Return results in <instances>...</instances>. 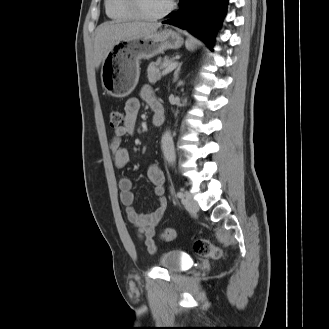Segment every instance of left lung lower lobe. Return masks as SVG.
I'll use <instances>...</instances> for the list:
<instances>
[{"instance_id":"left-lung-lower-lobe-1","label":"left lung lower lobe","mask_w":329,"mask_h":329,"mask_svg":"<svg viewBox=\"0 0 329 329\" xmlns=\"http://www.w3.org/2000/svg\"><path fill=\"white\" fill-rule=\"evenodd\" d=\"M227 3L228 0H180V9L162 23L186 29L212 48L215 31L225 16Z\"/></svg>"}]
</instances>
